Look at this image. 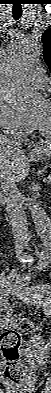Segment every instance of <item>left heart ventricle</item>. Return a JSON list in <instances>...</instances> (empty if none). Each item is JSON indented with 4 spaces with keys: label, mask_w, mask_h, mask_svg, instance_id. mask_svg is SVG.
<instances>
[{
    "label": "left heart ventricle",
    "mask_w": 51,
    "mask_h": 393,
    "mask_svg": "<svg viewBox=\"0 0 51 393\" xmlns=\"http://www.w3.org/2000/svg\"><path fill=\"white\" fill-rule=\"evenodd\" d=\"M34 119L39 121L47 130H51V104L43 101L36 110Z\"/></svg>",
    "instance_id": "left-heart-ventricle-1"
}]
</instances>
